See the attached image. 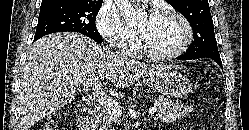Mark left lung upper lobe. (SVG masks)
<instances>
[{
	"mask_svg": "<svg viewBox=\"0 0 249 130\" xmlns=\"http://www.w3.org/2000/svg\"><path fill=\"white\" fill-rule=\"evenodd\" d=\"M167 2L192 26L194 41L186 50V54L220 56L208 0H167Z\"/></svg>",
	"mask_w": 249,
	"mask_h": 130,
	"instance_id": "5c2ea615",
	"label": "left lung upper lobe"
}]
</instances>
